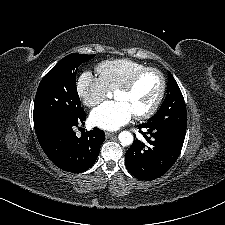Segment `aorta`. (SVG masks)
Here are the masks:
<instances>
[{
	"instance_id": "1",
	"label": "aorta",
	"mask_w": 225,
	"mask_h": 225,
	"mask_svg": "<svg viewBox=\"0 0 225 225\" xmlns=\"http://www.w3.org/2000/svg\"><path fill=\"white\" fill-rule=\"evenodd\" d=\"M118 138L123 146H129L133 142V135L129 131H122Z\"/></svg>"
}]
</instances>
